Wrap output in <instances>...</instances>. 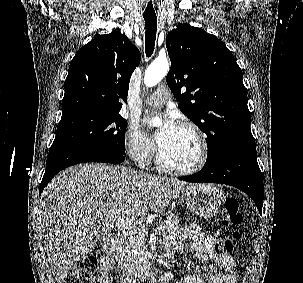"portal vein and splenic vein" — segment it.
I'll use <instances>...</instances> for the list:
<instances>
[{"instance_id":"1","label":"portal vein and splenic vein","mask_w":303,"mask_h":283,"mask_svg":"<svg viewBox=\"0 0 303 283\" xmlns=\"http://www.w3.org/2000/svg\"><path fill=\"white\" fill-rule=\"evenodd\" d=\"M104 221L110 223L112 226L115 225V226L126 227V228H132V226H139L138 223H133L128 219H124L114 215L105 218ZM154 231L156 233H161L164 231V227L163 226L157 227Z\"/></svg>"}]
</instances>
